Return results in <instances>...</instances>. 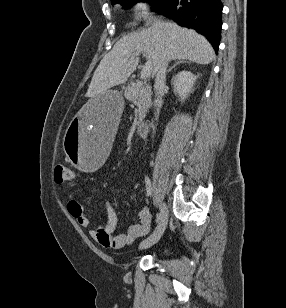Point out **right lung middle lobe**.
<instances>
[{"label": "right lung middle lobe", "mask_w": 286, "mask_h": 308, "mask_svg": "<svg viewBox=\"0 0 286 308\" xmlns=\"http://www.w3.org/2000/svg\"><path fill=\"white\" fill-rule=\"evenodd\" d=\"M140 1L151 2L152 6H153V10H156V11L166 2V0H116L112 4L113 5L120 4L124 8H129L133 4L140 2Z\"/></svg>", "instance_id": "1"}]
</instances>
